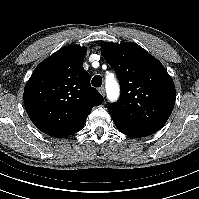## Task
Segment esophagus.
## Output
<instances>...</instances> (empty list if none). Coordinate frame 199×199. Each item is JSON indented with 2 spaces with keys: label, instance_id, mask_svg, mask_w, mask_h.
I'll list each match as a JSON object with an SVG mask.
<instances>
[{
  "label": "esophagus",
  "instance_id": "esophagus-1",
  "mask_svg": "<svg viewBox=\"0 0 199 199\" xmlns=\"http://www.w3.org/2000/svg\"><path fill=\"white\" fill-rule=\"evenodd\" d=\"M98 91L101 93L102 96L106 95V91L104 87H100Z\"/></svg>",
  "mask_w": 199,
  "mask_h": 199
}]
</instances>
